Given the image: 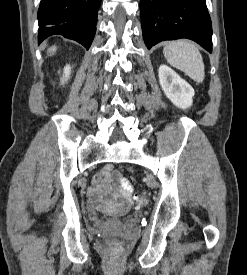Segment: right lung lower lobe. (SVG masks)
Listing matches in <instances>:
<instances>
[{
    "label": "right lung lower lobe",
    "mask_w": 247,
    "mask_h": 275,
    "mask_svg": "<svg viewBox=\"0 0 247 275\" xmlns=\"http://www.w3.org/2000/svg\"><path fill=\"white\" fill-rule=\"evenodd\" d=\"M100 4L101 0H41L38 43L49 36L62 35L89 49Z\"/></svg>",
    "instance_id": "98d812e1"
}]
</instances>
